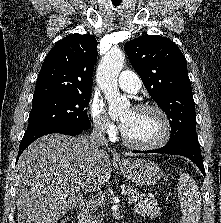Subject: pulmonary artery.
Instances as JSON below:
<instances>
[{
	"instance_id": "1",
	"label": "pulmonary artery",
	"mask_w": 221,
	"mask_h": 223,
	"mask_svg": "<svg viewBox=\"0 0 221 223\" xmlns=\"http://www.w3.org/2000/svg\"><path fill=\"white\" fill-rule=\"evenodd\" d=\"M118 85L124 91L137 93L142 84L139 76L135 72L125 70L122 71L118 77Z\"/></svg>"
}]
</instances>
